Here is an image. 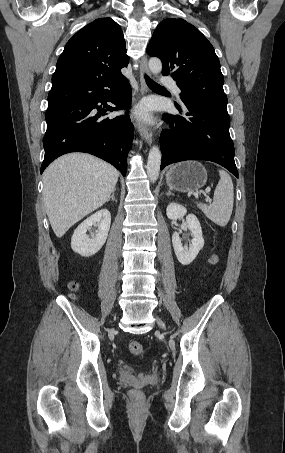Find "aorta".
I'll return each mask as SVG.
<instances>
[{"label": "aorta", "mask_w": 285, "mask_h": 453, "mask_svg": "<svg viewBox=\"0 0 285 453\" xmlns=\"http://www.w3.org/2000/svg\"><path fill=\"white\" fill-rule=\"evenodd\" d=\"M149 69L153 74H159L162 70V63L158 58H151L149 60ZM161 151L157 146H153L148 155L147 161V175L150 181L155 182L159 177L161 165Z\"/></svg>", "instance_id": "aorta-1"}]
</instances>
